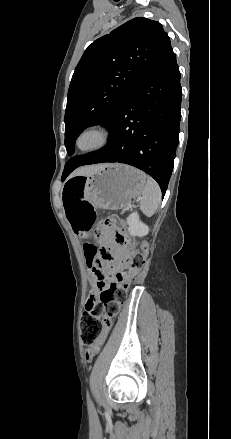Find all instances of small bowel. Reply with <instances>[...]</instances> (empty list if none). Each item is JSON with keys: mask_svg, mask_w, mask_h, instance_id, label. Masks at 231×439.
Instances as JSON below:
<instances>
[{"mask_svg": "<svg viewBox=\"0 0 231 439\" xmlns=\"http://www.w3.org/2000/svg\"><path fill=\"white\" fill-rule=\"evenodd\" d=\"M80 239L85 241L84 243V250H85V256H86V250L89 248H93L94 245L88 243V234L85 231H76ZM100 233L106 237L108 241L112 239V232L109 228H104L100 230ZM115 253L119 259L120 262L123 261L125 257V252L122 248L117 247L114 249ZM106 255V253H105ZM105 259V258H103ZM110 270V266L103 262V261H97L95 260L93 265L91 266V272H90V283H91V291L90 294L86 300L85 307L86 309L91 307L92 305H95L98 302L99 295L101 291L105 287V282L100 280L98 273L107 272ZM100 342H98L95 346L97 349L99 348Z\"/></svg>", "mask_w": 231, "mask_h": 439, "instance_id": "small-bowel-1", "label": "small bowel"}]
</instances>
